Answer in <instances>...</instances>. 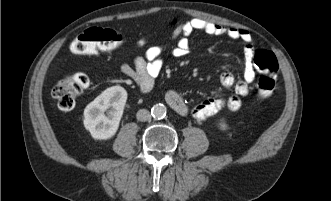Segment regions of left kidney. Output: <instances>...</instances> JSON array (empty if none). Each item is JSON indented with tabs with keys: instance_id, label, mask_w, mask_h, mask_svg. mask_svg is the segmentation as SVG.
I'll return each mask as SVG.
<instances>
[{
	"instance_id": "1",
	"label": "left kidney",
	"mask_w": 331,
	"mask_h": 201,
	"mask_svg": "<svg viewBox=\"0 0 331 201\" xmlns=\"http://www.w3.org/2000/svg\"><path fill=\"white\" fill-rule=\"evenodd\" d=\"M219 127H220V129L225 130V129H227L228 126L224 120H221L219 123Z\"/></svg>"
}]
</instances>
